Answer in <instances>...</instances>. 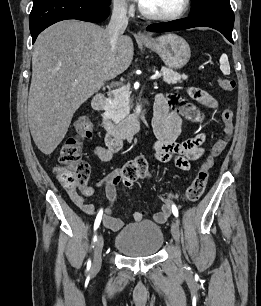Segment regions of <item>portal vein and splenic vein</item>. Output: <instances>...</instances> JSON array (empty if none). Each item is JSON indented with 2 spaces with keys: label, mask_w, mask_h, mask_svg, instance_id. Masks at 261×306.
Listing matches in <instances>:
<instances>
[{
  "label": "portal vein and splenic vein",
  "mask_w": 261,
  "mask_h": 306,
  "mask_svg": "<svg viewBox=\"0 0 261 306\" xmlns=\"http://www.w3.org/2000/svg\"><path fill=\"white\" fill-rule=\"evenodd\" d=\"M160 76H161V74L156 73V74L152 75V76L150 77V79H151V80H155V79H158ZM76 81H77V80H76Z\"/></svg>",
  "instance_id": "portal-vein-and-splenic-vein-1"
}]
</instances>
